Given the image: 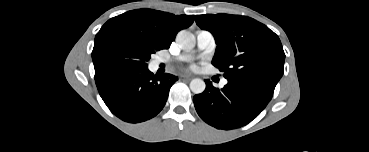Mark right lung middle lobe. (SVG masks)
I'll list each match as a JSON object with an SVG mask.
<instances>
[{
    "mask_svg": "<svg viewBox=\"0 0 369 152\" xmlns=\"http://www.w3.org/2000/svg\"><path fill=\"white\" fill-rule=\"evenodd\" d=\"M156 49L133 34L115 29L100 30L92 51L95 79L120 69L146 68Z\"/></svg>",
    "mask_w": 369,
    "mask_h": 152,
    "instance_id": "right-lung-middle-lobe-1",
    "label": "right lung middle lobe"
}]
</instances>
